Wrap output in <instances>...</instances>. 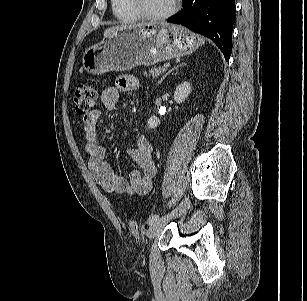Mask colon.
<instances>
[{"instance_id":"1","label":"colon","mask_w":307,"mask_h":301,"mask_svg":"<svg viewBox=\"0 0 307 301\" xmlns=\"http://www.w3.org/2000/svg\"><path fill=\"white\" fill-rule=\"evenodd\" d=\"M97 99L95 87L87 82H79L76 86L73 102L75 112L79 116L88 115L94 108ZM129 225L133 235L137 234L138 226L134 220H129Z\"/></svg>"}]
</instances>
